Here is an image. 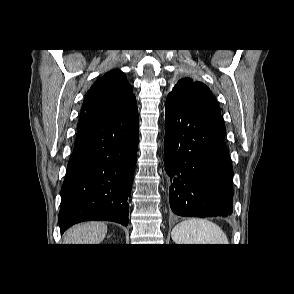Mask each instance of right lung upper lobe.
Returning <instances> with one entry per match:
<instances>
[{
  "instance_id": "cb5924a9",
  "label": "right lung upper lobe",
  "mask_w": 294,
  "mask_h": 294,
  "mask_svg": "<svg viewBox=\"0 0 294 294\" xmlns=\"http://www.w3.org/2000/svg\"><path fill=\"white\" fill-rule=\"evenodd\" d=\"M135 100L131 85L120 70L99 78L88 91L80 119L112 114Z\"/></svg>"
}]
</instances>
